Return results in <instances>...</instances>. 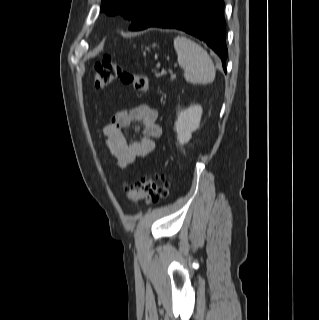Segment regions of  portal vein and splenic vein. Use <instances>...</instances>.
I'll list each match as a JSON object with an SVG mask.
<instances>
[{
    "instance_id": "obj_1",
    "label": "portal vein and splenic vein",
    "mask_w": 319,
    "mask_h": 320,
    "mask_svg": "<svg viewBox=\"0 0 319 320\" xmlns=\"http://www.w3.org/2000/svg\"><path fill=\"white\" fill-rule=\"evenodd\" d=\"M171 77H172V78H175V77H176V74H173V73H172V74H171Z\"/></svg>"
}]
</instances>
